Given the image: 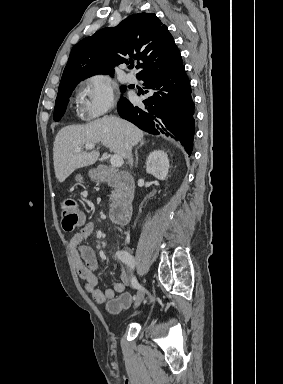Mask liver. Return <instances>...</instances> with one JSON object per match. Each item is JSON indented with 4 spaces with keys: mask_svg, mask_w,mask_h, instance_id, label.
Instances as JSON below:
<instances>
[{
    "mask_svg": "<svg viewBox=\"0 0 283 384\" xmlns=\"http://www.w3.org/2000/svg\"><path fill=\"white\" fill-rule=\"evenodd\" d=\"M143 132L120 118H99L86 126H66L58 132L53 150L54 170L58 182H64L77 168L92 166L99 152H75L85 144H103L114 154L127 158L126 144L136 146Z\"/></svg>",
    "mask_w": 283,
    "mask_h": 384,
    "instance_id": "obj_1",
    "label": "liver"
}]
</instances>
